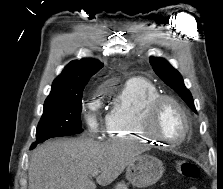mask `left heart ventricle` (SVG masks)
Wrapping results in <instances>:
<instances>
[{
  "label": "left heart ventricle",
  "mask_w": 223,
  "mask_h": 189,
  "mask_svg": "<svg viewBox=\"0 0 223 189\" xmlns=\"http://www.w3.org/2000/svg\"><path fill=\"white\" fill-rule=\"evenodd\" d=\"M185 129V122L180 111L171 103H164L156 120V131L170 142L179 140Z\"/></svg>",
  "instance_id": "obj_1"
}]
</instances>
